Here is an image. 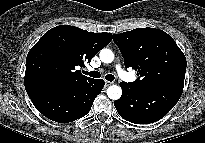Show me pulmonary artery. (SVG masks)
I'll use <instances>...</instances> for the list:
<instances>
[{"label": "pulmonary artery", "instance_id": "obj_1", "mask_svg": "<svg viewBox=\"0 0 205 143\" xmlns=\"http://www.w3.org/2000/svg\"><path fill=\"white\" fill-rule=\"evenodd\" d=\"M116 68H117V71H118L119 76H120L122 79H124V80H126V81L131 80L130 76H129L123 69H121V67H120L119 65H117Z\"/></svg>", "mask_w": 205, "mask_h": 143}]
</instances>
